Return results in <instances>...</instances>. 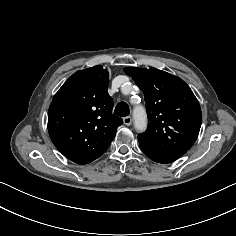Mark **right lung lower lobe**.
I'll return each mask as SVG.
<instances>
[{
  "mask_svg": "<svg viewBox=\"0 0 236 236\" xmlns=\"http://www.w3.org/2000/svg\"><path fill=\"white\" fill-rule=\"evenodd\" d=\"M76 163H78V164H86V163H82V162H76Z\"/></svg>",
  "mask_w": 236,
  "mask_h": 236,
  "instance_id": "1",
  "label": "right lung lower lobe"
}]
</instances>
